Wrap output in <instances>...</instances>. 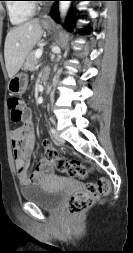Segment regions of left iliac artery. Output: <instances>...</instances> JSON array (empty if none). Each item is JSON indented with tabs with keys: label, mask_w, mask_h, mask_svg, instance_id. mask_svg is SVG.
I'll list each match as a JSON object with an SVG mask.
<instances>
[{
	"label": "left iliac artery",
	"mask_w": 133,
	"mask_h": 253,
	"mask_svg": "<svg viewBox=\"0 0 133 253\" xmlns=\"http://www.w3.org/2000/svg\"><path fill=\"white\" fill-rule=\"evenodd\" d=\"M50 132H51L52 134H54V133L56 132V130H55L54 128H51V129H50Z\"/></svg>",
	"instance_id": "left-iliac-artery-1"
}]
</instances>
